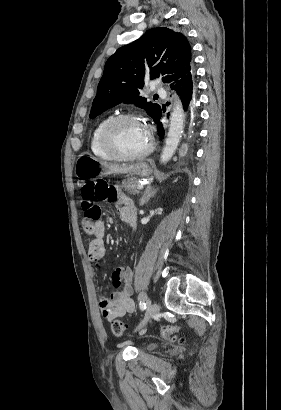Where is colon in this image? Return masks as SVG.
<instances>
[{
  "instance_id": "obj_1",
  "label": "colon",
  "mask_w": 281,
  "mask_h": 410,
  "mask_svg": "<svg viewBox=\"0 0 281 410\" xmlns=\"http://www.w3.org/2000/svg\"><path fill=\"white\" fill-rule=\"evenodd\" d=\"M118 198V192L105 180H99L95 183L85 184L81 192V206L84 215L81 220L82 228L87 233H94L96 223L101 217L100 202H114ZM111 330L115 336L121 337L125 333V326L121 320H114L111 323ZM181 330L179 325H165L160 328L163 338L173 343H182L183 338H177L175 333Z\"/></svg>"
}]
</instances>
